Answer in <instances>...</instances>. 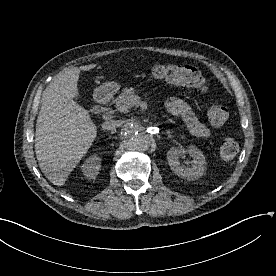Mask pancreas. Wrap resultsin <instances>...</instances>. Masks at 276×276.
<instances>
[{
    "instance_id": "1",
    "label": "pancreas",
    "mask_w": 276,
    "mask_h": 276,
    "mask_svg": "<svg viewBox=\"0 0 276 276\" xmlns=\"http://www.w3.org/2000/svg\"><path fill=\"white\" fill-rule=\"evenodd\" d=\"M135 96V92L133 88H125L122 90V92L119 94V96L114 100L116 106L119 108L120 106H123L128 99ZM126 111V110H124Z\"/></svg>"
}]
</instances>
